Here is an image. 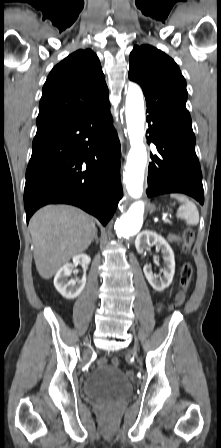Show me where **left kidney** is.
Wrapping results in <instances>:
<instances>
[{
  "label": "left kidney",
  "mask_w": 221,
  "mask_h": 448,
  "mask_svg": "<svg viewBox=\"0 0 221 448\" xmlns=\"http://www.w3.org/2000/svg\"><path fill=\"white\" fill-rule=\"evenodd\" d=\"M153 244L160 248L163 254V260L165 262L163 277L158 280L156 276L153 275L151 265L148 264L143 267V271L152 288L161 292L169 287L173 280L175 273V258L173 250L168 242L154 231L144 230L138 234L135 240V247L138 253H143L147 249V246Z\"/></svg>",
  "instance_id": "5707ae66"
}]
</instances>
